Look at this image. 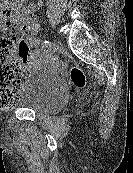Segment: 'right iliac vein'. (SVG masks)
I'll return each mask as SVG.
<instances>
[{"mask_svg":"<svg viewBox=\"0 0 133 173\" xmlns=\"http://www.w3.org/2000/svg\"><path fill=\"white\" fill-rule=\"evenodd\" d=\"M55 49H56L55 43H53V42L50 43V45H49V47L47 49V55H46V57L47 58H50L52 56V54L54 53Z\"/></svg>","mask_w":133,"mask_h":173,"instance_id":"right-iliac-vein-1","label":"right iliac vein"}]
</instances>
